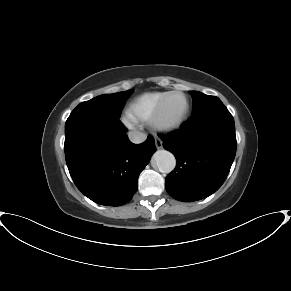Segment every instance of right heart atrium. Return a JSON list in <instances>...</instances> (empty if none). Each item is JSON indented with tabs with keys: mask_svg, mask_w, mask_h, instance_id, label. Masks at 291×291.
Wrapping results in <instances>:
<instances>
[{
	"mask_svg": "<svg viewBox=\"0 0 291 291\" xmlns=\"http://www.w3.org/2000/svg\"><path fill=\"white\" fill-rule=\"evenodd\" d=\"M125 122L128 123V124H131L132 123V120L127 116L125 118Z\"/></svg>",
	"mask_w": 291,
	"mask_h": 291,
	"instance_id": "1",
	"label": "right heart atrium"
}]
</instances>
